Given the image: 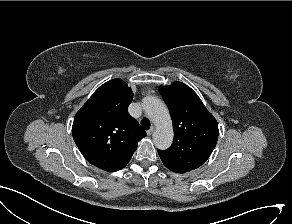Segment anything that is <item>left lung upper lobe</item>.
Returning a JSON list of instances; mask_svg holds the SVG:
<instances>
[{
  "mask_svg": "<svg viewBox=\"0 0 292 224\" xmlns=\"http://www.w3.org/2000/svg\"><path fill=\"white\" fill-rule=\"evenodd\" d=\"M168 105L173 130V144L158 150L163 164L171 171L185 173L200 167L211 155L218 138V124L198 95L182 82L160 86Z\"/></svg>",
  "mask_w": 292,
  "mask_h": 224,
  "instance_id": "obj_1",
  "label": "left lung upper lobe"
}]
</instances>
